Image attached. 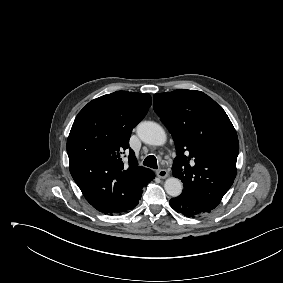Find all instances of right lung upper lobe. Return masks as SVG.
Returning <instances> with one entry per match:
<instances>
[{
  "label": "right lung upper lobe",
  "instance_id": "cb5924a9",
  "mask_svg": "<svg viewBox=\"0 0 283 283\" xmlns=\"http://www.w3.org/2000/svg\"><path fill=\"white\" fill-rule=\"evenodd\" d=\"M151 106L149 94L116 91L89 102L67 139L70 173L86 200L105 214L134 208L153 172L138 166L132 149L122 161L132 129Z\"/></svg>",
  "mask_w": 283,
  "mask_h": 283
}]
</instances>
